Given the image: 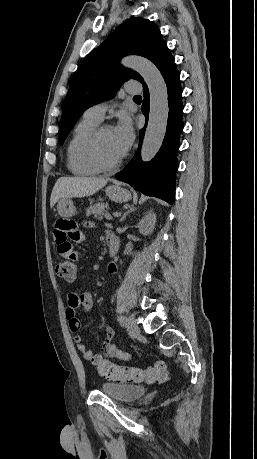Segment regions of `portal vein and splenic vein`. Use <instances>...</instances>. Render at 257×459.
<instances>
[{"label":"portal vein and splenic vein","instance_id":"obj_1","mask_svg":"<svg viewBox=\"0 0 257 459\" xmlns=\"http://www.w3.org/2000/svg\"><path fill=\"white\" fill-rule=\"evenodd\" d=\"M104 217H105V219H107V220H112V216H111V214H109V213H105Z\"/></svg>","mask_w":257,"mask_h":459}]
</instances>
